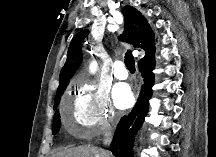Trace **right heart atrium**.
Listing matches in <instances>:
<instances>
[{
  "label": "right heart atrium",
  "instance_id": "d8ad5b80",
  "mask_svg": "<svg viewBox=\"0 0 216 157\" xmlns=\"http://www.w3.org/2000/svg\"><path fill=\"white\" fill-rule=\"evenodd\" d=\"M77 90L71 118L73 131L79 136L91 137L109 130L118 115L107 92L82 81L77 84Z\"/></svg>",
  "mask_w": 216,
  "mask_h": 157
}]
</instances>
